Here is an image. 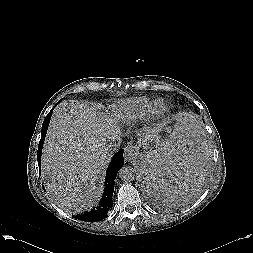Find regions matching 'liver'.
I'll return each mask as SVG.
<instances>
[{
  "label": "liver",
  "mask_w": 253,
  "mask_h": 253,
  "mask_svg": "<svg viewBox=\"0 0 253 253\" xmlns=\"http://www.w3.org/2000/svg\"><path fill=\"white\" fill-rule=\"evenodd\" d=\"M112 117L84 101H63L49 124L41 161L51 199L60 208L80 213L98 204L112 155L108 144L120 137Z\"/></svg>",
  "instance_id": "6515ba94"
}]
</instances>
